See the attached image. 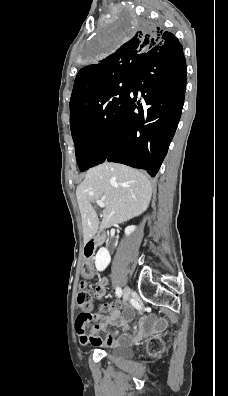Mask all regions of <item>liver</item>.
Returning <instances> with one entry per match:
<instances>
[{
    "label": "liver",
    "mask_w": 228,
    "mask_h": 396,
    "mask_svg": "<svg viewBox=\"0 0 228 396\" xmlns=\"http://www.w3.org/2000/svg\"><path fill=\"white\" fill-rule=\"evenodd\" d=\"M82 218L84 243L114 225L124 223L147 210L152 186L149 179L131 167L105 162L90 168L76 189ZM102 200L105 210L99 222L92 203Z\"/></svg>",
    "instance_id": "liver-1"
}]
</instances>
